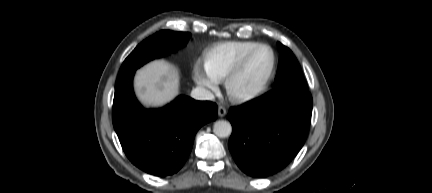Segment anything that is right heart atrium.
I'll return each instance as SVG.
<instances>
[{
  "label": "right heart atrium",
  "instance_id": "d8ad5b80",
  "mask_svg": "<svg viewBox=\"0 0 432 193\" xmlns=\"http://www.w3.org/2000/svg\"><path fill=\"white\" fill-rule=\"evenodd\" d=\"M194 80L200 86L211 90L217 87V81L200 65L194 67Z\"/></svg>",
  "mask_w": 432,
  "mask_h": 193
}]
</instances>
